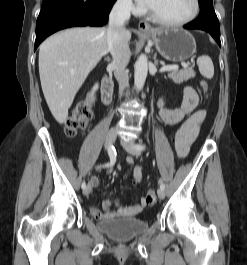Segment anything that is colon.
I'll return each instance as SVG.
<instances>
[{
	"label": "colon",
	"instance_id": "5ec220e1",
	"mask_svg": "<svg viewBox=\"0 0 247 265\" xmlns=\"http://www.w3.org/2000/svg\"><path fill=\"white\" fill-rule=\"evenodd\" d=\"M202 89L205 93L208 92V84L205 81L201 82ZM93 117V98H86L78 102L74 109L72 110L70 116L68 117L65 124V133L68 137L73 138L79 133L83 132L88 122ZM178 137L177 132H175L173 137V145L177 146ZM157 196L154 190L148 191L145 196V202L147 205H154L156 202Z\"/></svg>",
	"mask_w": 247,
	"mask_h": 265
}]
</instances>
